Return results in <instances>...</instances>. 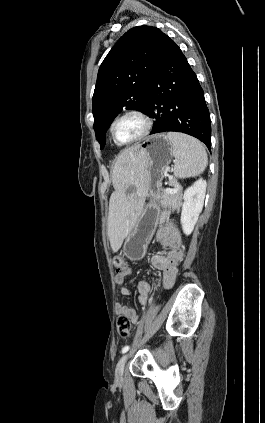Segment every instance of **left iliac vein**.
I'll return each mask as SVG.
<instances>
[{
    "instance_id": "4c4485c4",
    "label": "left iliac vein",
    "mask_w": 265,
    "mask_h": 423,
    "mask_svg": "<svg viewBox=\"0 0 265 423\" xmlns=\"http://www.w3.org/2000/svg\"><path fill=\"white\" fill-rule=\"evenodd\" d=\"M128 359V354L123 355L118 361L115 368V379L116 381H121L123 378L125 363Z\"/></svg>"
}]
</instances>
